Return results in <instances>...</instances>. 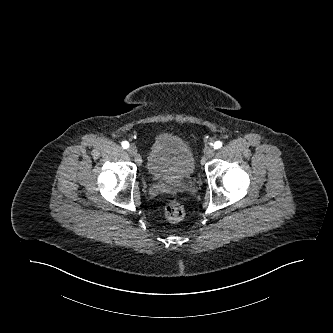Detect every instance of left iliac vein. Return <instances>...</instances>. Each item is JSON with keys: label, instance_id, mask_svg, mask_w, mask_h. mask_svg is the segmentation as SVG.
Masks as SVG:
<instances>
[{"label": "left iliac vein", "instance_id": "left-iliac-vein-1", "mask_svg": "<svg viewBox=\"0 0 333 333\" xmlns=\"http://www.w3.org/2000/svg\"><path fill=\"white\" fill-rule=\"evenodd\" d=\"M215 154V150L212 146H207L205 149H204V155L206 158H211L213 157Z\"/></svg>", "mask_w": 333, "mask_h": 333}]
</instances>
